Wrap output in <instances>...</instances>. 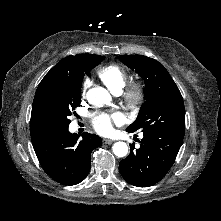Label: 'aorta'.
<instances>
[{
    "label": "aorta",
    "mask_w": 221,
    "mask_h": 221,
    "mask_svg": "<svg viewBox=\"0 0 221 221\" xmlns=\"http://www.w3.org/2000/svg\"><path fill=\"white\" fill-rule=\"evenodd\" d=\"M87 99L90 104L102 106L110 101L108 91L102 87L89 89ZM112 151L117 157H125L128 154V146L125 142H115L112 146Z\"/></svg>",
    "instance_id": "1"
}]
</instances>
